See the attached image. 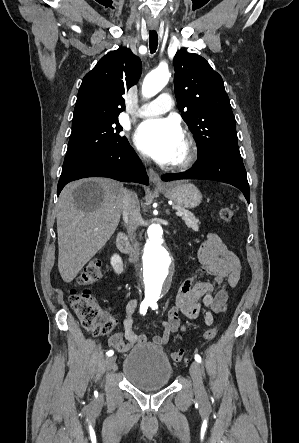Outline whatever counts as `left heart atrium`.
<instances>
[{"instance_id":"left-heart-atrium-1","label":"left heart atrium","mask_w":299,"mask_h":443,"mask_svg":"<svg viewBox=\"0 0 299 443\" xmlns=\"http://www.w3.org/2000/svg\"><path fill=\"white\" fill-rule=\"evenodd\" d=\"M133 140L142 153L159 163L171 164L184 141V133L174 118L152 119L138 126Z\"/></svg>"}]
</instances>
